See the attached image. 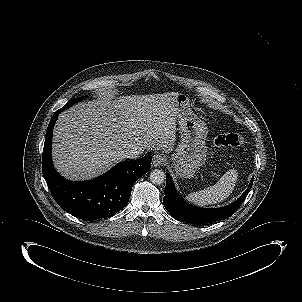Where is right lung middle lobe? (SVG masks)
Listing matches in <instances>:
<instances>
[{"instance_id": "right-lung-middle-lobe-1", "label": "right lung middle lobe", "mask_w": 302, "mask_h": 302, "mask_svg": "<svg viewBox=\"0 0 302 302\" xmlns=\"http://www.w3.org/2000/svg\"><path fill=\"white\" fill-rule=\"evenodd\" d=\"M84 99V97H79V98H75V99H71L69 100L65 105L64 107H62L60 110L61 111H64L66 110L67 108L71 107L73 104L77 103V102H80Z\"/></svg>"}]
</instances>
